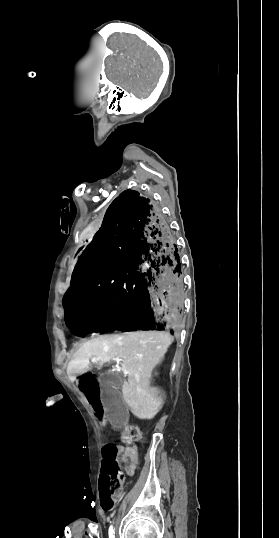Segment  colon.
<instances>
[{"label": "colon", "mask_w": 279, "mask_h": 538, "mask_svg": "<svg viewBox=\"0 0 279 538\" xmlns=\"http://www.w3.org/2000/svg\"><path fill=\"white\" fill-rule=\"evenodd\" d=\"M142 434L139 428L129 424L122 431V440L127 445L140 442ZM102 471L100 477V497L105 510H111L123 488L124 476L117 469L118 449L113 444H106L102 448Z\"/></svg>", "instance_id": "colon-1"}]
</instances>
